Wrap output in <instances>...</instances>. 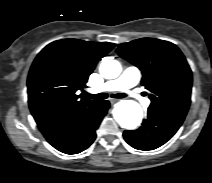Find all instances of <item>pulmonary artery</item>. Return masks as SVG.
Masks as SVG:
<instances>
[{
  "label": "pulmonary artery",
  "instance_id": "obj_1",
  "mask_svg": "<svg viewBox=\"0 0 212 183\" xmlns=\"http://www.w3.org/2000/svg\"><path fill=\"white\" fill-rule=\"evenodd\" d=\"M141 79V71L136 66L127 67L122 74L114 79L105 82L97 88L98 92H112L121 91L129 96L139 100L143 106L148 107L150 105V100L145 99L138 95L133 89Z\"/></svg>",
  "mask_w": 212,
  "mask_h": 183
}]
</instances>
